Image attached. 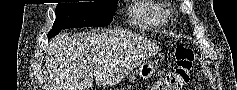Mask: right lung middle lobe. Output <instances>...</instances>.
<instances>
[{"instance_id": "1", "label": "right lung middle lobe", "mask_w": 237, "mask_h": 90, "mask_svg": "<svg viewBox=\"0 0 237 90\" xmlns=\"http://www.w3.org/2000/svg\"><path fill=\"white\" fill-rule=\"evenodd\" d=\"M116 3L117 0L59 3L56 7V20L48 39L57 35L62 29L108 25L113 19Z\"/></svg>"}]
</instances>
